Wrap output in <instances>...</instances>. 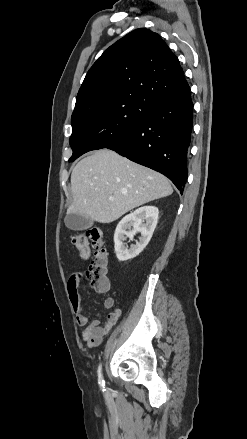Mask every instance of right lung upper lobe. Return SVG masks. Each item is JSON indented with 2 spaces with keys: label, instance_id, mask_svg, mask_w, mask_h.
Here are the masks:
<instances>
[{
  "label": "right lung upper lobe",
  "instance_id": "obj_1",
  "mask_svg": "<svg viewBox=\"0 0 247 439\" xmlns=\"http://www.w3.org/2000/svg\"><path fill=\"white\" fill-rule=\"evenodd\" d=\"M188 89L176 55L157 33L140 28L105 50L89 69L72 115L118 100L149 107Z\"/></svg>",
  "mask_w": 247,
  "mask_h": 439
}]
</instances>
